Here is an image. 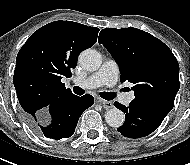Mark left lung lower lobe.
I'll return each mask as SVG.
<instances>
[{
  "label": "left lung lower lobe",
  "mask_w": 190,
  "mask_h": 165,
  "mask_svg": "<svg viewBox=\"0 0 190 165\" xmlns=\"http://www.w3.org/2000/svg\"><path fill=\"white\" fill-rule=\"evenodd\" d=\"M114 106L125 113V122L117 130L128 138H141L151 134L171 110L158 104L134 101L128 107L118 102H115Z\"/></svg>",
  "instance_id": "1"
}]
</instances>
